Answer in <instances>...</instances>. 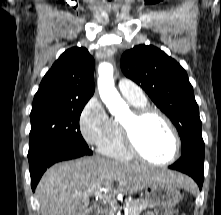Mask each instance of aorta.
<instances>
[{"instance_id": "762f6f07", "label": "aorta", "mask_w": 221, "mask_h": 215, "mask_svg": "<svg viewBox=\"0 0 221 215\" xmlns=\"http://www.w3.org/2000/svg\"><path fill=\"white\" fill-rule=\"evenodd\" d=\"M98 90L101 100L109 109L111 114L116 115L118 112L125 110L127 104L121 98L115 88L113 80V66L110 63H101L98 67Z\"/></svg>"}]
</instances>
